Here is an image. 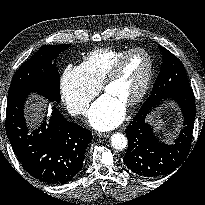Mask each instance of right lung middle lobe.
<instances>
[{
    "label": "right lung middle lobe",
    "mask_w": 205,
    "mask_h": 205,
    "mask_svg": "<svg viewBox=\"0 0 205 205\" xmlns=\"http://www.w3.org/2000/svg\"><path fill=\"white\" fill-rule=\"evenodd\" d=\"M71 44L44 45L15 73L8 95L37 92L48 100L60 101L59 73L54 61Z\"/></svg>",
    "instance_id": "right-lung-middle-lobe-1"
}]
</instances>
